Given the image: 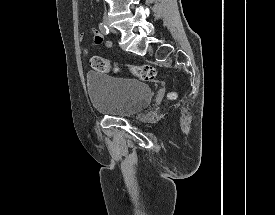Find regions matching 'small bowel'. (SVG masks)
I'll return each mask as SVG.
<instances>
[{
  "label": "small bowel",
  "instance_id": "1",
  "mask_svg": "<svg viewBox=\"0 0 275 215\" xmlns=\"http://www.w3.org/2000/svg\"><path fill=\"white\" fill-rule=\"evenodd\" d=\"M102 33V32H101ZM100 33V31H98V30H93V31H91V36H92V38H93V41H94V43L96 44V45H101L102 43H103V35ZM84 37H85V34H81L80 35V40H83L84 39ZM112 42L111 41H106L105 43H104V46L106 47V48H110V47H112ZM81 52H82V54H84V55H89V53H90V50H89V48H87V47H83L82 49H81Z\"/></svg>",
  "mask_w": 275,
  "mask_h": 215
}]
</instances>
